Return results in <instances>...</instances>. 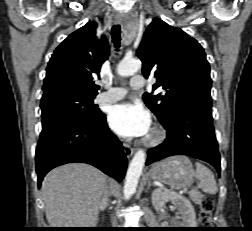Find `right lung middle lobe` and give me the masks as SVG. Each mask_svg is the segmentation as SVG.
<instances>
[{"instance_id": "1", "label": "right lung middle lobe", "mask_w": 252, "mask_h": 231, "mask_svg": "<svg viewBox=\"0 0 252 231\" xmlns=\"http://www.w3.org/2000/svg\"><path fill=\"white\" fill-rule=\"evenodd\" d=\"M94 96L60 94L41 100L42 127L61 119L93 120L101 112L93 106Z\"/></svg>"}]
</instances>
